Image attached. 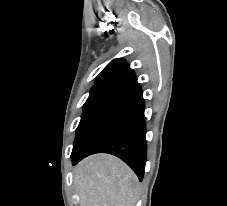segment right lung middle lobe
<instances>
[{"label": "right lung middle lobe", "instance_id": "obj_1", "mask_svg": "<svg viewBox=\"0 0 227 206\" xmlns=\"http://www.w3.org/2000/svg\"><path fill=\"white\" fill-rule=\"evenodd\" d=\"M129 87L130 84L123 82H105L95 84L92 87L90 95L83 106V113L76 130L72 152L76 150L89 133L100 115L122 97L129 90Z\"/></svg>", "mask_w": 227, "mask_h": 206}]
</instances>
